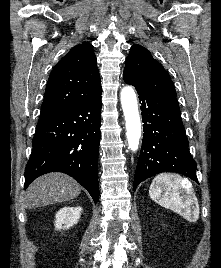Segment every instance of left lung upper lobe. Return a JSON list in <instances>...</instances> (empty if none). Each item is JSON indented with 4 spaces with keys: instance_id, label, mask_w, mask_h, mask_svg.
<instances>
[{
    "instance_id": "obj_1",
    "label": "left lung upper lobe",
    "mask_w": 221,
    "mask_h": 268,
    "mask_svg": "<svg viewBox=\"0 0 221 268\" xmlns=\"http://www.w3.org/2000/svg\"><path fill=\"white\" fill-rule=\"evenodd\" d=\"M124 81L138 90L176 96L168 72L141 45L131 47L123 73Z\"/></svg>"
}]
</instances>
